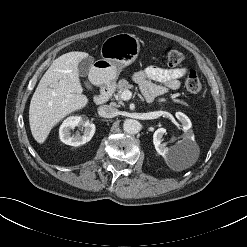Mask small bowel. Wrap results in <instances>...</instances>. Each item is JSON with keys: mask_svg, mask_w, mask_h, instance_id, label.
I'll return each instance as SVG.
<instances>
[{"mask_svg": "<svg viewBox=\"0 0 247 247\" xmlns=\"http://www.w3.org/2000/svg\"><path fill=\"white\" fill-rule=\"evenodd\" d=\"M186 74L185 68H161L150 66L134 74V81L140 86L148 102L180 86V79Z\"/></svg>", "mask_w": 247, "mask_h": 247, "instance_id": "small-bowel-1", "label": "small bowel"}]
</instances>
